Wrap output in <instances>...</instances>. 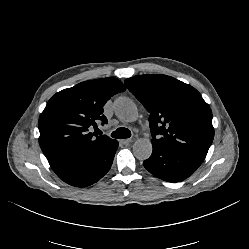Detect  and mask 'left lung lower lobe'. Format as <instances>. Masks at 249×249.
Segmentation results:
<instances>
[{"mask_svg": "<svg viewBox=\"0 0 249 249\" xmlns=\"http://www.w3.org/2000/svg\"><path fill=\"white\" fill-rule=\"evenodd\" d=\"M152 146L153 152L143 165L164 181H182L192 175L204 161V157L164 147L153 140Z\"/></svg>", "mask_w": 249, "mask_h": 249, "instance_id": "left-lung-lower-lobe-1", "label": "left lung lower lobe"}]
</instances>
